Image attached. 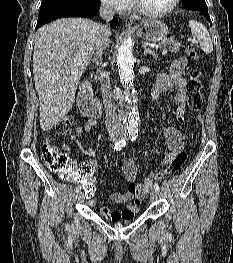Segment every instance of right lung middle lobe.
<instances>
[{
	"label": "right lung middle lobe",
	"mask_w": 233,
	"mask_h": 263,
	"mask_svg": "<svg viewBox=\"0 0 233 263\" xmlns=\"http://www.w3.org/2000/svg\"><path fill=\"white\" fill-rule=\"evenodd\" d=\"M81 1L83 0H42L37 23L70 14Z\"/></svg>",
	"instance_id": "dd1d6c3e"
}]
</instances>
